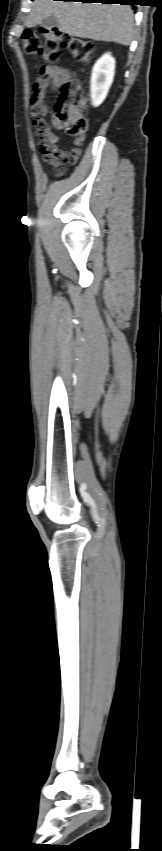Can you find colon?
<instances>
[{
	"label": "colon",
	"mask_w": 162,
	"mask_h": 851,
	"mask_svg": "<svg viewBox=\"0 0 162 851\" xmlns=\"http://www.w3.org/2000/svg\"><path fill=\"white\" fill-rule=\"evenodd\" d=\"M24 51L29 55L41 56L50 63L60 57V50L69 53L78 62H87L93 52L91 41L62 32L56 27L43 28L39 33L26 31L22 36ZM86 94L80 82L69 79L62 87L56 104V121L62 129L74 139V147L67 164H75L80 156L78 146L83 142L87 130ZM65 172L64 164L56 168L57 175Z\"/></svg>",
	"instance_id": "5ec220e1"
}]
</instances>
